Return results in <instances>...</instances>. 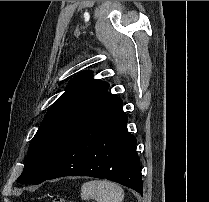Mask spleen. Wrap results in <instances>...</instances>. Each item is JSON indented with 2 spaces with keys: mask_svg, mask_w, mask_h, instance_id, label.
Wrapping results in <instances>:
<instances>
[{
  "mask_svg": "<svg viewBox=\"0 0 209 202\" xmlns=\"http://www.w3.org/2000/svg\"><path fill=\"white\" fill-rule=\"evenodd\" d=\"M83 200L93 199L97 202H122L124 190L118 184L106 180H93L81 187Z\"/></svg>",
  "mask_w": 209,
  "mask_h": 202,
  "instance_id": "spleen-1",
  "label": "spleen"
}]
</instances>
